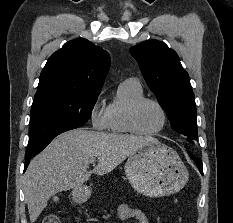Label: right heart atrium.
<instances>
[{
  "instance_id": "right-heart-atrium-1",
  "label": "right heart atrium",
  "mask_w": 233,
  "mask_h": 223,
  "mask_svg": "<svg viewBox=\"0 0 233 223\" xmlns=\"http://www.w3.org/2000/svg\"><path fill=\"white\" fill-rule=\"evenodd\" d=\"M90 120L93 127L97 130L107 128L106 108L100 107L98 102L94 103L90 109Z\"/></svg>"
}]
</instances>
